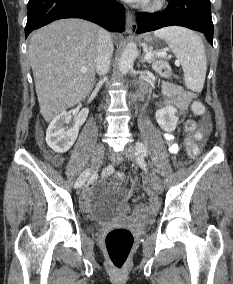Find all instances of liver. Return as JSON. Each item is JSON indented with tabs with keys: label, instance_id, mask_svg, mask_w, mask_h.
<instances>
[{
	"label": "liver",
	"instance_id": "6515ba94",
	"mask_svg": "<svg viewBox=\"0 0 233 284\" xmlns=\"http://www.w3.org/2000/svg\"><path fill=\"white\" fill-rule=\"evenodd\" d=\"M98 31L89 21L61 19L32 34L28 53L46 122L90 94L95 84Z\"/></svg>",
	"mask_w": 233,
	"mask_h": 284
}]
</instances>
